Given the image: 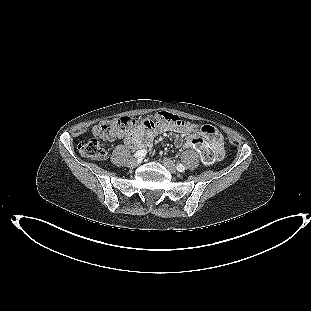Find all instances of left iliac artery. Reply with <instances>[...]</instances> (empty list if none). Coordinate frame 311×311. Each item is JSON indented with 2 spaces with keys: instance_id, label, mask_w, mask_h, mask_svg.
<instances>
[{
  "instance_id": "44dca946",
  "label": "left iliac artery",
  "mask_w": 311,
  "mask_h": 311,
  "mask_svg": "<svg viewBox=\"0 0 311 311\" xmlns=\"http://www.w3.org/2000/svg\"><path fill=\"white\" fill-rule=\"evenodd\" d=\"M176 168L179 172H183L185 170V167L182 164H178Z\"/></svg>"
}]
</instances>
